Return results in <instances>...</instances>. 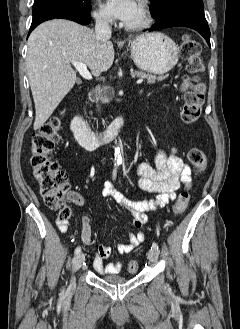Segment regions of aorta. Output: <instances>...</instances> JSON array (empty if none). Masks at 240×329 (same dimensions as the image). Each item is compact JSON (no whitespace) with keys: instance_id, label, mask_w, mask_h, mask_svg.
<instances>
[{"instance_id":"aorta-1","label":"aorta","mask_w":240,"mask_h":329,"mask_svg":"<svg viewBox=\"0 0 240 329\" xmlns=\"http://www.w3.org/2000/svg\"><path fill=\"white\" fill-rule=\"evenodd\" d=\"M114 161L118 165L122 163L121 148L120 145L117 143L114 150Z\"/></svg>"}]
</instances>
